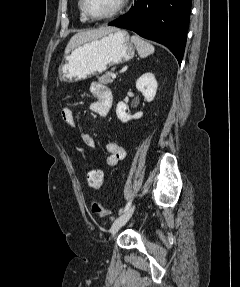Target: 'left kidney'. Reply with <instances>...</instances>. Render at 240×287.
Segmentation results:
<instances>
[{"mask_svg":"<svg viewBox=\"0 0 240 287\" xmlns=\"http://www.w3.org/2000/svg\"><path fill=\"white\" fill-rule=\"evenodd\" d=\"M157 81L155 76L152 73H145L141 77H139L136 81V88L143 94L147 102L153 101L156 91H157ZM126 104L124 102H119L116 108V114L118 119L126 123L131 119H139L143 116V112H138L131 116L126 112Z\"/></svg>","mask_w":240,"mask_h":287,"instance_id":"left-kidney-1","label":"left kidney"}]
</instances>
